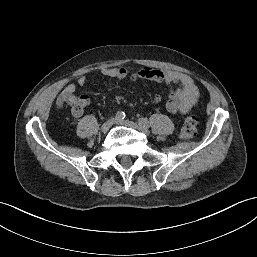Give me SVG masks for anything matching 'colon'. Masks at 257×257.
<instances>
[{"instance_id": "1", "label": "colon", "mask_w": 257, "mask_h": 257, "mask_svg": "<svg viewBox=\"0 0 257 257\" xmlns=\"http://www.w3.org/2000/svg\"><path fill=\"white\" fill-rule=\"evenodd\" d=\"M60 102L71 103L72 106H74V103L70 97L61 96ZM197 123V118L195 116H188L180 129L179 137L183 140L192 139L197 133Z\"/></svg>"}]
</instances>
